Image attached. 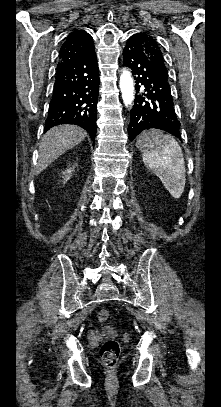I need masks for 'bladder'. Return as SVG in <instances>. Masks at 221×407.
<instances>
[{
    "label": "bladder",
    "mask_w": 221,
    "mask_h": 407,
    "mask_svg": "<svg viewBox=\"0 0 221 407\" xmlns=\"http://www.w3.org/2000/svg\"><path fill=\"white\" fill-rule=\"evenodd\" d=\"M105 331L110 335L114 334V328L112 326H106Z\"/></svg>",
    "instance_id": "obj_1"
}]
</instances>
